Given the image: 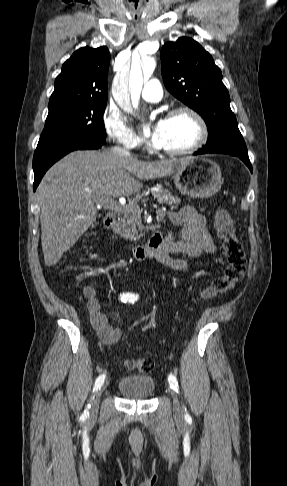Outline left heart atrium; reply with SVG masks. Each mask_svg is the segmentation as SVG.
Wrapping results in <instances>:
<instances>
[{"mask_svg": "<svg viewBox=\"0 0 287 486\" xmlns=\"http://www.w3.org/2000/svg\"><path fill=\"white\" fill-rule=\"evenodd\" d=\"M163 129H164V120L158 121L153 128L151 134V143L155 147H160L161 145Z\"/></svg>", "mask_w": 287, "mask_h": 486, "instance_id": "left-heart-atrium-1", "label": "left heart atrium"}]
</instances>
